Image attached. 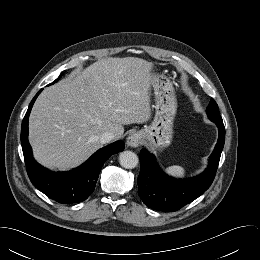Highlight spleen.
Wrapping results in <instances>:
<instances>
[{
  "label": "spleen",
  "instance_id": "spleen-1",
  "mask_svg": "<svg viewBox=\"0 0 260 260\" xmlns=\"http://www.w3.org/2000/svg\"><path fill=\"white\" fill-rule=\"evenodd\" d=\"M166 172L169 175L174 176V177H178V178H182L185 175L184 168L181 167V166H177V165L170 166V167L166 168Z\"/></svg>",
  "mask_w": 260,
  "mask_h": 260
}]
</instances>
